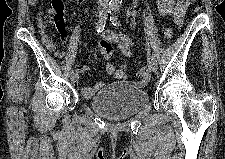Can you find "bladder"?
Instances as JSON below:
<instances>
[{
    "mask_svg": "<svg viewBox=\"0 0 225 159\" xmlns=\"http://www.w3.org/2000/svg\"><path fill=\"white\" fill-rule=\"evenodd\" d=\"M149 102L146 91L130 81H117L101 88L89 101L97 113L110 119H127Z\"/></svg>",
    "mask_w": 225,
    "mask_h": 159,
    "instance_id": "obj_1",
    "label": "bladder"
}]
</instances>
